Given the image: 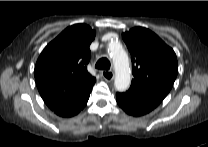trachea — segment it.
Wrapping results in <instances>:
<instances>
[{
    "label": "trachea",
    "instance_id": "trachea-1",
    "mask_svg": "<svg viewBox=\"0 0 208 147\" xmlns=\"http://www.w3.org/2000/svg\"><path fill=\"white\" fill-rule=\"evenodd\" d=\"M110 61L107 58H101L95 64V68L100 70H109L110 69Z\"/></svg>",
    "mask_w": 208,
    "mask_h": 147
}]
</instances>
